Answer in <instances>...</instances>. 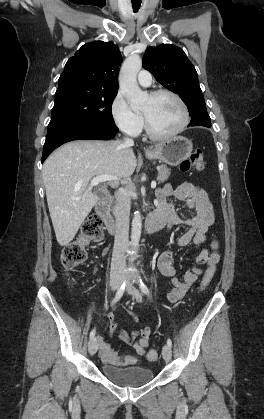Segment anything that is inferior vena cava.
<instances>
[{
	"instance_id": "obj_1",
	"label": "inferior vena cava",
	"mask_w": 264,
	"mask_h": 419,
	"mask_svg": "<svg viewBox=\"0 0 264 419\" xmlns=\"http://www.w3.org/2000/svg\"><path fill=\"white\" fill-rule=\"evenodd\" d=\"M124 144L132 146L133 139L124 138ZM115 206V240L114 250L112 254L111 269L124 270L126 266L125 250L128 247L129 241V215L130 205L127 201V194L123 189H119L116 193Z\"/></svg>"
}]
</instances>
